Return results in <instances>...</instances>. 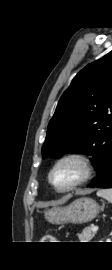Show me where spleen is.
<instances>
[{
  "label": "spleen",
  "mask_w": 112,
  "mask_h": 270,
  "mask_svg": "<svg viewBox=\"0 0 112 270\" xmlns=\"http://www.w3.org/2000/svg\"><path fill=\"white\" fill-rule=\"evenodd\" d=\"M97 196L102 197L112 203V189H100L97 191Z\"/></svg>",
  "instance_id": "3e777b00"
}]
</instances>
